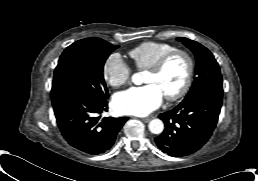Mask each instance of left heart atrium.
Wrapping results in <instances>:
<instances>
[{
  "label": "left heart atrium",
  "mask_w": 258,
  "mask_h": 181,
  "mask_svg": "<svg viewBox=\"0 0 258 181\" xmlns=\"http://www.w3.org/2000/svg\"><path fill=\"white\" fill-rule=\"evenodd\" d=\"M163 96V92L155 84L131 87L115 95L114 108L121 114L144 116L161 105Z\"/></svg>",
  "instance_id": "39dd6f15"
}]
</instances>
